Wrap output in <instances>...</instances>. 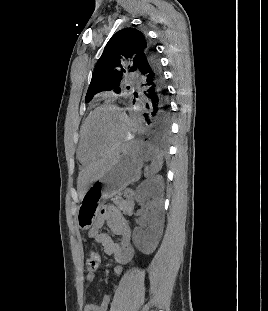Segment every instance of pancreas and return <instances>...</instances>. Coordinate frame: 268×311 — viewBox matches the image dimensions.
<instances>
[{
	"label": "pancreas",
	"instance_id": "pancreas-1",
	"mask_svg": "<svg viewBox=\"0 0 268 311\" xmlns=\"http://www.w3.org/2000/svg\"><path fill=\"white\" fill-rule=\"evenodd\" d=\"M113 203L123 211L124 214L131 216L134 209V198L131 195L126 196L124 200L121 196L112 199Z\"/></svg>",
	"mask_w": 268,
	"mask_h": 311
}]
</instances>
